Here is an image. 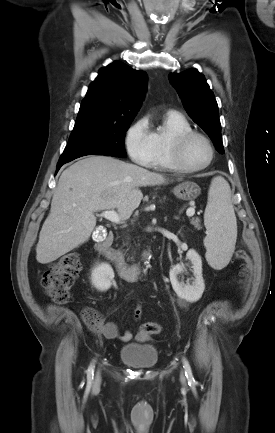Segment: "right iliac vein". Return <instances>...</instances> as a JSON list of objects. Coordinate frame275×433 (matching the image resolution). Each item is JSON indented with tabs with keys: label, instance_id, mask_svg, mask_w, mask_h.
I'll list each match as a JSON object with an SVG mask.
<instances>
[{
	"label": "right iliac vein",
	"instance_id": "right-iliac-vein-1",
	"mask_svg": "<svg viewBox=\"0 0 275 433\" xmlns=\"http://www.w3.org/2000/svg\"><path fill=\"white\" fill-rule=\"evenodd\" d=\"M100 382H101V376H100V373L98 372L96 374V377H95V380H94V386L95 387L99 386Z\"/></svg>",
	"mask_w": 275,
	"mask_h": 433
}]
</instances>
